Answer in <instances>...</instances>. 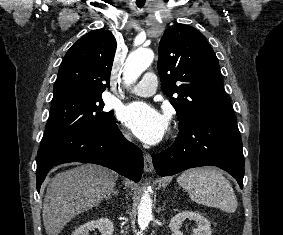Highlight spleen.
Returning a JSON list of instances; mask_svg holds the SVG:
<instances>
[{"mask_svg": "<svg viewBox=\"0 0 283 235\" xmlns=\"http://www.w3.org/2000/svg\"><path fill=\"white\" fill-rule=\"evenodd\" d=\"M177 182L197 204L219 208L228 213L237 209V199L230 182L216 169H190L183 172Z\"/></svg>", "mask_w": 283, "mask_h": 235, "instance_id": "spleen-1", "label": "spleen"}]
</instances>
